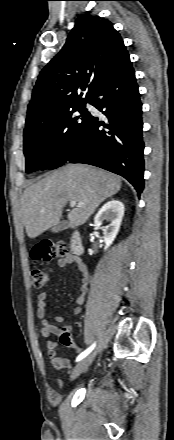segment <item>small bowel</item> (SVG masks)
I'll return each instance as SVG.
<instances>
[{
	"label": "small bowel",
	"mask_w": 174,
	"mask_h": 440,
	"mask_svg": "<svg viewBox=\"0 0 174 440\" xmlns=\"http://www.w3.org/2000/svg\"><path fill=\"white\" fill-rule=\"evenodd\" d=\"M58 266L60 268L73 266L81 276L79 293L75 300L77 306L73 308V313L75 315L80 314L81 313L80 305L83 304V302L85 301L89 287L88 271L84 263L79 258H77L72 254L60 258L58 260ZM46 313H47V294L45 292H40L37 295V310H36V315L38 319H40L41 321L40 333L43 337L46 338V348H47L48 357L52 359L53 365L56 368L61 369L66 367L69 364V361L63 357L57 356V352H56L57 342L51 337L52 336L58 337L63 345L71 349H74L77 352L80 351V348L76 345V343L72 339L71 335L73 332V327L72 326L59 327L55 324L50 323L46 319ZM54 320L56 323H62L64 322L65 317L62 315H57L54 317Z\"/></svg>",
	"instance_id": "obj_1"
}]
</instances>
